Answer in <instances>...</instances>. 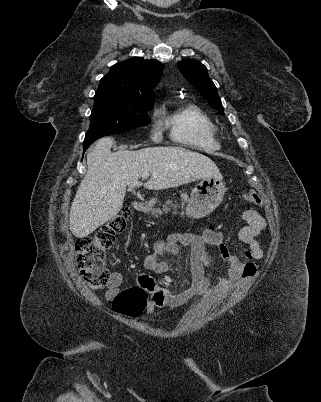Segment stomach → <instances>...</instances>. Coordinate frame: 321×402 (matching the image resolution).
I'll return each instance as SVG.
<instances>
[{
	"label": "stomach",
	"mask_w": 321,
	"mask_h": 402,
	"mask_svg": "<svg viewBox=\"0 0 321 402\" xmlns=\"http://www.w3.org/2000/svg\"><path fill=\"white\" fill-rule=\"evenodd\" d=\"M226 186L222 178L202 179L192 190L186 206V214L193 219L209 215L222 202Z\"/></svg>",
	"instance_id": "obj_1"
}]
</instances>
